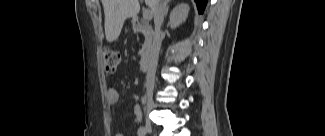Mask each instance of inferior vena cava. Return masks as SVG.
<instances>
[{
	"mask_svg": "<svg viewBox=\"0 0 325 136\" xmlns=\"http://www.w3.org/2000/svg\"><path fill=\"white\" fill-rule=\"evenodd\" d=\"M162 0H151V9L154 13L155 37L152 48V58L146 76V89L148 98L152 97L155 73L157 68L158 54L160 50V27L163 22V4Z\"/></svg>",
	"mask_w": 325,
	"mask_h": 136,
	"instance_id": "obj_1",
	"label": "inferior vena cava"
}]
</instances>
